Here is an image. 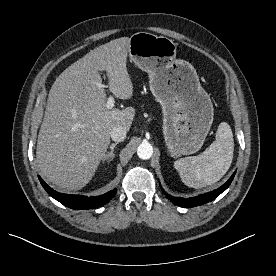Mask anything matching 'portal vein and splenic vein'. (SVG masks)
<instances>
[{"mask_svg":"<svg viewBox=\"0 0 276 276\" xmlns=\"http://www.w3.org/2000/svg\"><path fill=\"white\" fill-rule=\"evenodd\" d=\"M115 100L112 96H109L106 102L107 109H112L114 106Z\"/></svg>","mask_w":276,"mask_h":276,"instance_id":"1","label":"portal vein and splenic vein"}]
</instances>
